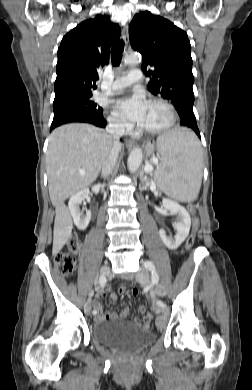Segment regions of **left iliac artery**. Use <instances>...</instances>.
Here are the masks:
<instances>
[{
    "label": "left iliac artery",
    "instance_id": "left-iliac-artery-1",
    "mask_svg": "<svg viewBox=\"0 0 252 390\" xmlns=\"http://www.w3.org/2000/svg\"><path fill=\"white\" fill-rule=\"evenodd\" d=\"M144 266H145V268H147V269L151 272L152 282H153L154 284H157L158 281H159V276H158V274H157V271H156V268H155L153 262L147 260V261L144 262ZM158 304H159L162 308H166V304H165L164 302L158 301Z\"/></svg>",
    "mask_w": 252,
    "mask_h": 390
}]
</instances>
